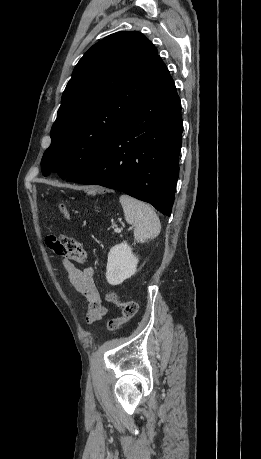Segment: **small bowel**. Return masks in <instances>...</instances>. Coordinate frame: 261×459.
Returning <instances> with one entry per match:
<instances>
[{
	"label": "small bowel",
	"instance_id": "1",
	"mask_svg": "<svg viewBox=\"0 0 261 459\" xmlns=\"http://www.w3.org/2000/svg\"><path fill=\"white\" fill-rule=\"evenodd\" d=\"M47 246L57 255L63 257V266L73 288L82 294L88 302L86 322L95 323L106 315L107 309L102 304L99 291L94 282V270L92 267L80 269L78 264L87 261L88 256L81 243L69 236H48Z\"/></svg>",
	"mask_w": 261,
	"mask_h": 459
}]
</instances>
